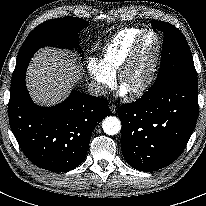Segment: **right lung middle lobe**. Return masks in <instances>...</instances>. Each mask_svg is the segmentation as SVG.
Wrapping results in <instances>:
<instances>
[{
    "mask_svg": "<svg viewBox=\"0 0 206 206\" xmlns=\"http://www.w3.org/2000/svg\"><path fill=\"white\" fill-rule=\"evenodd\" d=\"M85 20L65 17L48 20L37 26L24 41L16 60L12 82L17 81L26 71L33 54L46 45L80 49L78 33L87 26Z\"/></svg>",
    "mask_w": 206,
    "mask_h": 206,
    "instance_id": "right-lung-middle-lobe-1",
    "label": "right lung middle lobe"
}]
</instances>
